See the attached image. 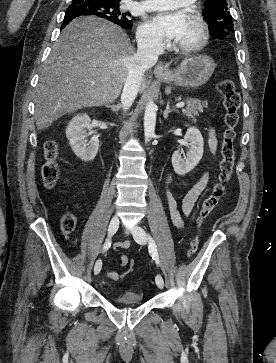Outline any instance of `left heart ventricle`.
I'll list each match as a JSON object with an SVG mask.
<instances>
[{
    "label": "left heart ventricle",
    "mask_w": 276,
    "mask_h": 363,
    "mask_svg": "<svg viewBox=\"0 0 276 363\" xmlns=\"http://www.w3.org/2000/svg\"><path fill=\"white\" fill-rule=\"evenodd\" d=\"M198 38H199V28L191 18H188L186 28L182 36L179 38L178 41H176V43L178 45L191 44L196 42Z\"/></svg>",
    "instance_id": "1"
}]
</instances>
